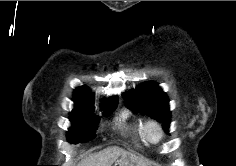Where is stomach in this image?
<instances>
[{"mask_svg":"<svg viewBox=\"0 0 236 166\" xmlns=\"http://www.w3.org/2000/svg\"><path fill=\"white\" fill-rule=\"evenodd\" d=\"M133 156L132 155H126L120 158L118 162V166H136L135 163H133Z\"/></svg>","mask_w":236,"mask_h":166,"instance_id":"1","label":"stomach"}]
</instances>
